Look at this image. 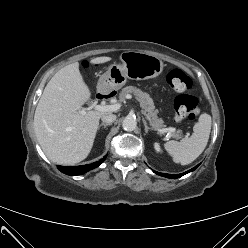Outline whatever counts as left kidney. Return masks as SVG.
Wrapping results in <instances>:
<instances>
[{"label":"left kidney","mask_w":248,"mask_h":248,"mask_svg":"<svg viewBox=\"0 0 248 248\" xmlns=\"http://www.w3.org/2000/svg\"><path fill=\"white\" fill-rule=\"evenodd\" d=\"M154 149L157 153H162V149H161L160 144L158 142L154 143Z\"/></svg>","instance_id":"obj_1"}]
</instances>
